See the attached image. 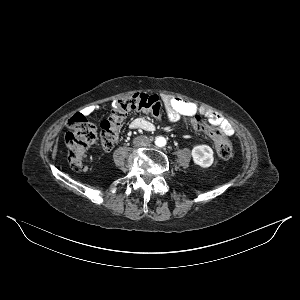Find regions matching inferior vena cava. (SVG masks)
<instances>
[{"instance_id":"602c4592","label":"inferior vena cava","mask_w":300,"mask_h":300,"mask_svg":"<svg viewBox=\"0 0 300 300\" xmlns=\"http://www.w3.org/2000/svg\"><path fill=\"white\" fill-rule=\"evenodd\" d=\"M133 144L136 147H145L150 144V139L147 136H137L134 138Z\"/></svg>"}]
</instances>
